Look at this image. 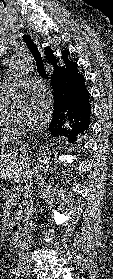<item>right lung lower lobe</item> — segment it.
Wrapping results in <instances>:
<instances>
[{
    "instance_id": "right-lung-lower-lobe-1",
    "label": "right lung lower lobe",
    "mask_w": 113,
    "mask_h": 279,
    "mask_svg": "<svg viewBox=\"0 0 113 279\" xmlns=\"http://www.w3.org/2000/svg\"><path fill=\"white\" fill-rule=\"evenodd\" d=\"M77 67L59 75H52L51 84L54 91V111L49 126L51 135L68 134L69 142L74 143L77 134L87 130L90 123L91 106L89 93L84 85V76ZM65 108L68 110L67 117L73 124L72 130L62 129L65 119Z\"/></svg>"
}]
</instances>
